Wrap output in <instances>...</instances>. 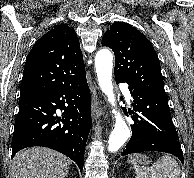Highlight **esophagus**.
<instances>
[{"mask_svg":"<svg viewBox=\"0 0 194 178\" xmlns=\"http://www.w3.org/2000/svg\"><path fill=\"white\" fill-rule=\"evenodd\" d=\"M104 113V107H99L95 101V99H93V103H92V117L93 120L98 119L101 114Z\"/></svg>","mask_w":194,"mask_h":178,"instance_id":"esophagus-1","label":"esophagus"}]
</instances>
